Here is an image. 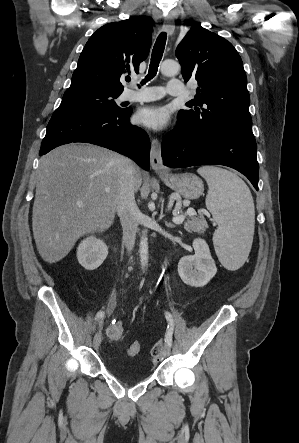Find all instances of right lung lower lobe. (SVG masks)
<instances>
[{
	"instance_id": "1",
	"label": "right lung lower lobe",
	"mask_w": 299,
	"mask_h": 443,
	"mask_svg": "<svg viewBox=\"0 0 299 443\" xmlns=\"http://www.w3.org/2000/svg\"><path fill=\"white\" fill-rule=\"evenodd\" d=\"M131 114L132 109L100 113L59 107L49 121L39 155L63 144L85 142L124 154L148 171L150 141L143 129L130 124Z\"/></svg>"
}]
</instances>
